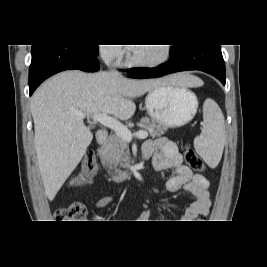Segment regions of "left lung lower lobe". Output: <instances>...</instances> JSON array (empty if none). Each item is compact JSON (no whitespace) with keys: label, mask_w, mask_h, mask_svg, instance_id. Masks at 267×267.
Wrapping results in <instances>:
<instances>
[{"label":"left lung lower lobe","mask_w":267,"mask_h":267,"mask_svg":"<svg viewBox=\"0 0 267 267\" xmlns=\"http://www.w3.org/2000/svg\"><path fill=\"white\" fill-rule=\"evenodd\" d=\"M171 59L154 68H131L132 78H155L166 74L200 70L219 79L225 85V63L221 45H178L170 50Z\"/></svg>","instance_id":"1"}]
</instances>
